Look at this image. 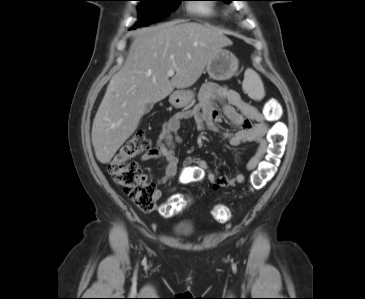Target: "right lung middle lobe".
<instances>
[{"label":"right lung middle lobe","instance_id":"dd1d6c3e","mask_svg":"<svg viewBox=\"0 0 365 299\" xmlns=\"http://www.w3.org/2000/svg\"><path fill=\"white\" fill-rule=\"evenodd\" d=\"M142 3L138 7V16L140 18L132 29L141 26H148L152 23L161 21L170 15L176 9V3L179 0H139Z\"/></svg>","mask_w":365,"mask_h":299}]
</instances>
